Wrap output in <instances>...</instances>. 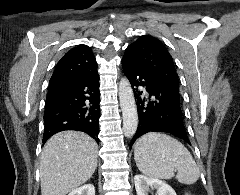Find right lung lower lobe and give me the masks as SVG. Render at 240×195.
<instances>
[{
	"label": "right lung lower lobe",
	"instance_id": "right-lung-lower-lobe-1",
	"mask_svg": "<svg viewBox=\"0 0 240 195\" xmlns=\"http://www.w3.org/2000/svg\"><path fill=\"white\" fill-rule=\"evenodd\" d=\"M98 73L73 83L49 85L45 104L43 143L64 130H77L99 141Z\"/></svg>",
	"mask_w": 240,
	"mask_h": 195
}]
</instances>
